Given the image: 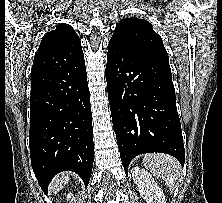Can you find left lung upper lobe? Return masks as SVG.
Listing matches in <instances>:
<instances>
[{
    "instance_id": "5c2ea615",
    "label": "left lung upper lobe",
    "mask_w": 222,
    "mask_h": 203,
    "mask_svg": "<svg viewBox=\"0 0 222 203\" xmlns=\"http://www.w3.org/2000/svg\"><path fill=\"white\" fill-rule=\"evenodd\" d=\"M109 45L120 47L130 54H148L169 59L161 37L152 24L139 18L122 19L116 26Z\"/></svg>"
}]
</instances>
